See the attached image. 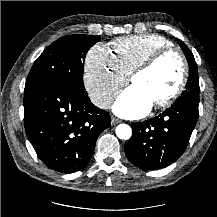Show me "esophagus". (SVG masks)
Returning a JSON list of instances; mask_svg holds the SVG:
<instances>
[{"mask_svg": "<svg viewBox=\"0 0 217 217\" xmlns=\"http://www.w3.org/2000/svg\"><path fill=\"white\" fill-rule=\"evenodd\" d=\"M118 123H120V120H119V119H117V118H115V117H112V118H111V124H112V125H116V124H118Z\"/></svg>", "mask_w": 217, "mask_h": 217, "instance_id": "esophagus-1", "label": "esophagus"}]
</instances>
